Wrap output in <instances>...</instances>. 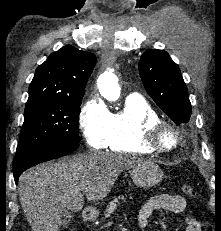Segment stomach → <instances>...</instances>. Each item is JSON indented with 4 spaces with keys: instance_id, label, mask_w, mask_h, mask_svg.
<instances>
[{
    "instance_id": "1",
    "label": "stomach",
    "mask_w": 221,
    "mask_h": 231,
    "mask_svg": "<svg viewBox=\"0 0 221 231\" xmlns=\"http://www.w3.org/2000/svg\"><path fill=\"white\" fill-rule=\"evenodd\" d=\"M163 171L160 167L151 161H141L131 170L133 182L139 187H152L157 185L163 179ZM99 212L93 210L91 218L96 219Z\"/></svg>"
}]
</instances>
